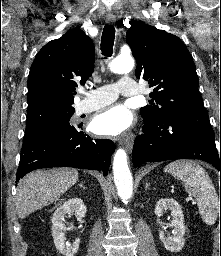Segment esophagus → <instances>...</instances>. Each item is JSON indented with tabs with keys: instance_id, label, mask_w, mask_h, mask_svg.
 Returning a JSON list of instances; mask_svg holds the SVG:
<instances>
[{
	"instance_id": "esophagus-1",
	"label": "esophagus",
	"mask_w": 221,
	"mask_h": 256,
	"mask_svg": "<svg viewBox=\"0 0 221 256\" xmlns=\"http://www.w3.org/2000/svg\"><path fill=\"white\" fill-rule=\"evenodd\" d=\"M106 22L108 24H113L115 22V17L114 16H108L106 18ZM118 140H119L120 144L125 145L127 151L130 152L132 150L133 142H134V135L132 133L123 135Z\"/></svg>"
}]
</instances>
